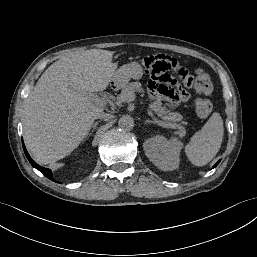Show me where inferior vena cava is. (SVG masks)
<instances>
[{
  "instance_id": "602c4592",
  "label": "inferior vena cava",
  "mask_w": 257,
  "mask_h": 257,
  "mask_svg": "<svg viewBox=\"0 0 257 257\" xmlns=\"http://www.w3.org/2000/svg\"><path fill=\"white\" fill-rule=\"evenodd\" d=\"M96 118L104 120V121H109L112 119V115L105 113V112H100L96 115Z\"/></svg>"
}]
</instances>
